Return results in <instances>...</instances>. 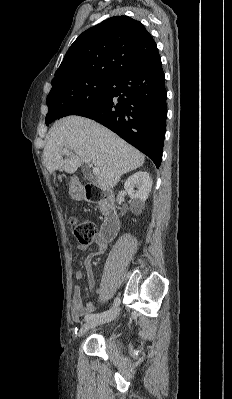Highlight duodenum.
I'll return each instance as SVG.
<instances>
[{
	"instance_id": "1",
	"label": "duodenum",
	"mask_w": 232,
	"mask_h": 399,
	"mask_svg": "<svg viewBox=\"0 0 232 399\" xmlns=\"http://www.w3.org/2000/svg\"><path fill=\"white\" fill-rule=\"evenodd\" d=\"M80 196L89 202L98 203L104 212V224L100 236L106 242L111 241L118 233L120 220L116 209L113 192L86 184L79 189Z\"/></svg>"
}]
</instances>
